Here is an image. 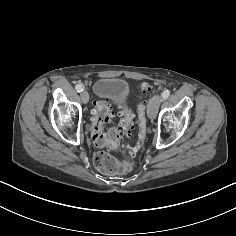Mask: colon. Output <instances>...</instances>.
Returning <instances> with one entry per match:
<instances>
[{
	"mask_svg": "<svg viewBox=\"0 0 236 236\" xmlns=\"http://www.w3.org/2000/svg\"><path fill=\"white\" fill-rule=\"evenodd\" d=\"M144 93L152 91V86L148 83L141 85ZM115 113L111 104L107 101H99L93 109L91 124V135L93 143L98 148L116 149L124 153L134 154L141 147L146 134V105L141 102L138 105L139 134L135 144L131 145L125 140L134 128L132 113L122 108L119 112L121 122L112 126L105 132L106 125L112 120ZM94 164L98 170L106 174L127 173L133 169V163L120 162L107 152H98L94 157Z\"/></svg>",
	"mask_w": 236,
	"mask_h": 236,
	"instance_id": "1",
	"label": "colon"
}]
</instances>
